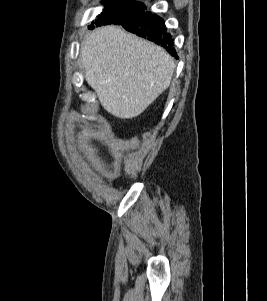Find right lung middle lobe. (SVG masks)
Instances as JSON below:
<instances>
[{
	"label": "right lung middle lobe",
	"mask_w": 267,
	"mask_h": 301,
	"mask_svg": "<svg viewBox=\"0 0 267 301\" xmlns=\"http://www.w3.org/2000/svg\"><path fill=\"white\" fill-rule=\"evenodd\" d=\"M102 3H107L103 12L96 19L97 25L114 24L126 16H130L144 11V4L135 2L134 0H103ZM94 27L92 23L91 28Z\"/></svg>",
	"instance_id": "obj_1"
}]
</instances>
